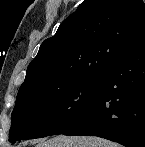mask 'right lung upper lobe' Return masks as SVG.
I'll list each match as a JSON object with an SVG mask.
<instances>
[{"mask_svg": "<svg viewBox=\"0 0 145 147\" xmlns=\"http://www.w3.org/2000/svg\"><path fill=\"white\" fill-rule=\"evenodd\" d=\"M144 38L142 0H85L41 44L17 95L54 91L84 76L102 74Z\"/></svg>", "mask_w": 145, "mask_h": 147, "instance_id": "obj_1", "label": "right lung upper lobe"}]
</instances>
